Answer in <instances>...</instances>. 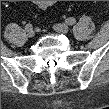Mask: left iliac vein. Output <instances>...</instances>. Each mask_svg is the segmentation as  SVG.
Segmentation results:
<instances>
[{
    "label": "left iliac vein",
    "instance_id": "left-iliac-vein-1",
    "mask_svg": "<svg viewBox=\"0 0 109 109\" xmlns=\"http://www.w3.org/2000/svg\"><path fill=\"white\" fill-rule=\"evenodd\" d=\"M54 30L58 33H67L69 31V28L66 24H56L54 26Z\"/></svg>",
    "mask_w": 109,
    "mask_h": 109
}]
</instances>
